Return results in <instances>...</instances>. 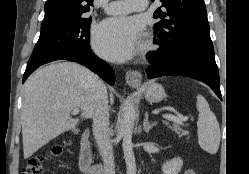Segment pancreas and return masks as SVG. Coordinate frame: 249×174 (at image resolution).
I'll return each instance as SVG.
<instances>
[{
    "label": "pancreas",
    "mask_w": 249,
    "mask_h": 174,
    "mask_svg": "<svg viewBox=\"0 0 249 174\" xmlns=\"http://www.w3.org/2000/svg\"><path fill=\"white\" fill-rule=\"evenodd\" d=\"M165 124L172 130V131H175L176 133H178L179 137L181 136H188L189 135V132L188 131H185L183 130L178 124L174 123L171 125H168L167 122H165Z\"/></svg>",
    "instance_id": "obj_1"
}]
</instances>
